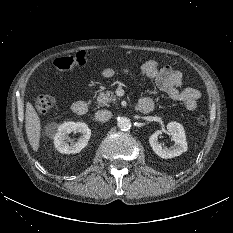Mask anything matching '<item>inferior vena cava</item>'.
<instances>
[{
  "label": "inferior vena cava",
  "mask_w": 233,
  "mask_h": 233,
  "mask_svg": "<svg viewBox=\"0 0 233 233\" xmlns=\"http://www.w3.org/2000/svg\"><path fill=\"white\" fill-rule=\"evenodd\" d=\"M112 117V113L108 110H99L95 113L96 120L106 122Z\"/></svg>",
  "instance_id": "obj_1"
}]
</instances>
